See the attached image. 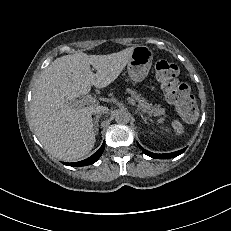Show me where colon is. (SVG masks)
Masks as SVG:
<instances>
[{"label":"colon","instance_id":"obj_1","mask_svg":"<svg viewBox=\"0 0 231 231\" xmlns=\"http://www.w3.org/2000/svg\"><path fill=\"white\" fill-rule=\"evenodd\" d=\"M156 78L166 93L167 100L173 104L178 114L186 121L198 116V106L188 85L180 82L179 67L166 60L155 64Z\"/></svg>","mask_w":231,"mask_h":231}]
</instances>
